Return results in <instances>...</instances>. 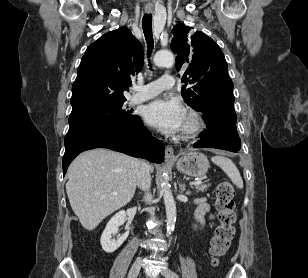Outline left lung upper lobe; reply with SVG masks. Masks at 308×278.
<instances>
[{
  "mask_svg": "<svg viewBox=\"0 0 308 278\" xmlns=\"http://www.w3.org/2000/svg\"><path fill=\"white\" fill-rule=\"evenodd\" d=\"M179 23L174 27L170 48L177 55L176 69L181 74L182 96L192 108L203 111L220 102L233 101V82L220 47L210 37Z\"/></svg>",
  "mask_w": 308,
  "mask_h": 278,
  "instance_id": "left-lung-upper-lobe-1",
  "label": "left lung upper lobe"
}]
</instances>
